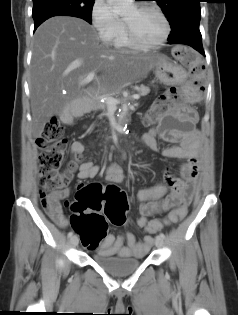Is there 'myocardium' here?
<instances>
[{"label":"myocardium","mask_w":238,"mask_h":315,"mask_svg":"<svg viewBox=\"0 0 238 315\" xmlns=\"http://www.w3.org/2000/svg\"><path fill=\"white\" fill-rule=\"evenodd\" d=\"M135 8L137 11L149 10L155 12L161 18L165 30L162 38L159 41L151 44L143 43L136 38L130 23L124 19L125 33L129 44L133 48L140 50H151L162 46L168 40L171 33V25L164 12L159 7L150 4H139L136 5Z\"/></svg>","instance_id":"1"}]
</instances>
